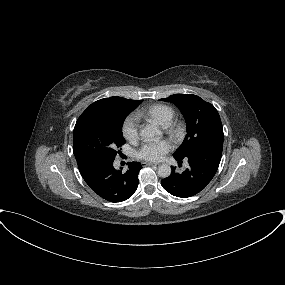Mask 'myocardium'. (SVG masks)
Here are the masks:
<instances>
[{
  "label": "myocardium",
  "instance_id": "obj_1",
  "mask_svg": "<svg viewBox=\"0 0 285 285\" xmlns=\"http://www.w3.org/2000/svg\"><path fill=\"white\" fill-rule=\"evenodd\" d=\"M170 131L172 134H174L176 132L175 129H173V128H170Z\"/></svg>",
  "mask_w": 285,
  "mask_h": 285
}]
</instances>
